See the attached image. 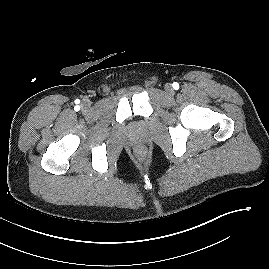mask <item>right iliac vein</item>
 Returning <instances> with one entry per match:
<instances>
[{
    "label": "right iliac vein",
    "mask_w": 269,
    "mask_h": 269,
    "mask_svg": "<svg viewBox=\"0 0 269 269\" xmlns=\"http://www.w3.org/2000/svg\"><path fill=\"white\" fill-rule=\"evenodd\" d=\"M89 107H90V101H88V100L83 101L82 108L87 109Z\"/></svg>",
    "instance_id": "1"
}]
</instances>
